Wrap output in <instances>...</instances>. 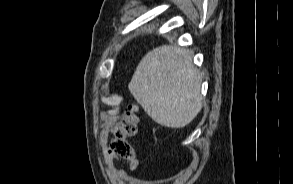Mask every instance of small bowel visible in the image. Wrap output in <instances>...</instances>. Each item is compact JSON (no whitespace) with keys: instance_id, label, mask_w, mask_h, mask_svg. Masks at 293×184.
Masks as SVG:
<instances>
[{"instance_id":"obj_1","label":"small bowel","mask_w":293,"mask_h":184,"mask_svg":"<svg viewBox=\"0 0 293 184\" xmlns=\"http://www.w3.org/2000/svg\"><path fill=\"white\" fill-rule=\"evenodd\" d=\"M105 165L112 177V180L116 184H125L128 181V173L125 169L119 167L114 162V158L107 155L105 158ZM138 166L137 160L134 163L129 164L131 170H135Z\"/></svg>"}]
</instances>
